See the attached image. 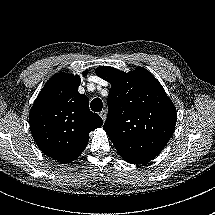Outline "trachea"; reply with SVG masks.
Wrapping results in <instances>:
<instances>
[{
	"mask_svg": "<svg viewBox=\"0 0 215 215\" xmlns=\"http://www.w3.org/2000/svg\"><path fill=\"white\" fill-rule=\"evenodd\" d=\"M103 108V103L101 99L95 98L91 102V110L94 112H100Z\"/></svg>",
	"mask_w": 215,
	"mask_h": 215,
	"instance_id": "obj_1",
	"label": "trachea"
}]
</instances>
